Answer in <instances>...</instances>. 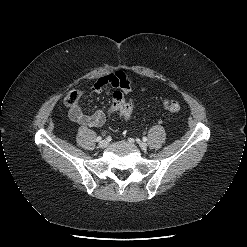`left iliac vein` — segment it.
Masks as SVG:
<instances>
[{
    "label": "left iliac vein",
    "instance_id": "left-iliac-vein-1",
    "mask_svg": "<svg viewBox=\"0 0 247 247\" xmlns=\"http://www.w3.org/2000/svg\"><path fill=\"white\" fill-rule=\"evenodd\" d=\"M139 146L141 149H146L147 148V144L145 142H139Z\"/></svg>",
    "mask_w": 247,
    "mask_h": 247
}]
</instances>
